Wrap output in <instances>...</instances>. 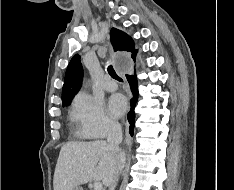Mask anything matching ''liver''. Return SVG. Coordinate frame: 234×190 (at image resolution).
Segmentation results:
<instances>
[{
  "label": "liver",
  "mask_w": 234,
  "mask_h": 190,
  "mask_svg": "<svg viewBox=\"0 0 234 190\" xmlns=\"http://www.w3.org/2000/svg\"><path fill=\"white\" fill-rule=\"evenodd\" d=\"M116 165V159L106 141L68 142L61 147L59 153L53 188L72 190L76 186L88 183L91 179L101 180L105 186H109Z\"/></svg>",
  "instance_id": "obj_1"
}]
</instances>
